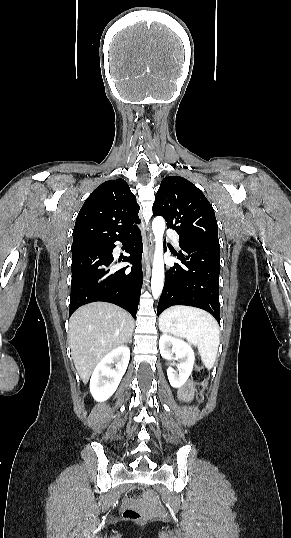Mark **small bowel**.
Masks as SVG:
<instances>
[{"label":"small bowel","mask_w":291,"mask_h":538,"mask_svg":"<svg viewBox=\"0 0 291 538\" xmlns=\"http://www.w3.org/2000/svg\"><path fill=\"white\" fill-rule=\"evenodd\" d=\"M180 393L182 395V397H184L185 399H188L190 398L191 394H192V387L190 384H185L181 390H180Z\"/></svg>","instance_id":"1"}]
</instances>
